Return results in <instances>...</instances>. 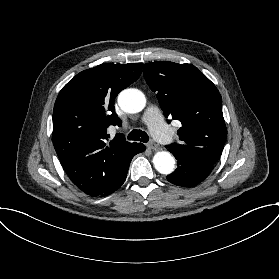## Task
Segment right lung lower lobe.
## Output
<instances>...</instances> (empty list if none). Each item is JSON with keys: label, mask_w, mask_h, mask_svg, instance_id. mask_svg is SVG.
<instances>
[{"label": "right lung lower lobe", "mask_w": 279, "mask_h": 279, "mask_svg": "<svg viewBox=\"0 0 279 279\" xmlns=\"http://www.w3.org/2000/svg\"><path fill=\"white\" fill-rule=\"evenodd\" d=\"M144 150H145V148H144V149H141L140 152H142V151H144ZM127 172H128V170H127L126 172H124V173L120 176V178L118 179V181H117V182L108 190V192H107L105 195H103V196L109 195V194L115 192L118 188H120V187L122 186V184L124 183L125 179H126Z\"/></svg>", "instance_id": "1"}]
</instances>
